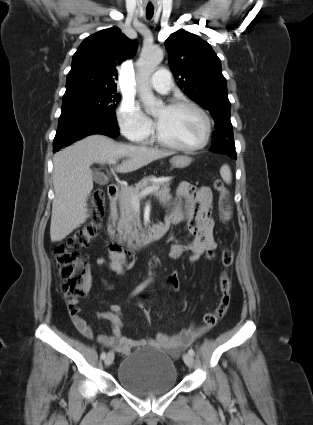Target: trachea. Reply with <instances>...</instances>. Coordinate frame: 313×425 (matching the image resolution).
<instances>
[{
    "mask_svg": "<svg viewBox=\"0 0 313 425\" xmlns=\"http://www.w3.org/2000/svg\"><path fill=\"white\" fill-rule=\"evenodd\" d=\"M154 14V8H146V16L150 19Z\"/></svg>",
    "mask_w": 313,
    "mask_h": 425,
    "instance_id": "1",
    "label": "trachea"
}]
</instances>
